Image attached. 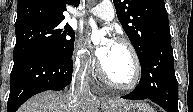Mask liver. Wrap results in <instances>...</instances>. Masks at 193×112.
Listing matches in <instances>:
<instances>
[{
    "mask_svg": "<svg viewBox=\"0 0 193 112\" xmlns=\"http://www.w3.org/2000/svg\"><path fill=\"white\" fill-rule=\"evenodd\" d=\"M108 101L115 104L128 102L123 99ZM106 102L91 93L75 98L71 92L45 91L26 101L18 112H106Z\"/></svg>",
    "mask_w": 193,
    "mask_h": 112,
    "instance_id": "1",
    "label": "liver"
}]
</instances>
